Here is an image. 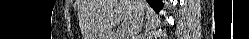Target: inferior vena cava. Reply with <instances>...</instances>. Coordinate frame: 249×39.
<instances>
[{
  "label": "inferior vena cava",
  "instance_id": "obj_1",
  "mask_svg": "<svg viewBox=\"0 0 249 39\" xmlns=\"http://www.w3.org/2000/svg\"><path fill=\"white\" fill-rule=\"evenodd\" d=\"M137 2V10L134 16V19L131 23V26L126 29L125 37L127 39H134L135 35L139 32L141 26V17H142V5L140 4V0H134Z\"/></svg>",
  "mask_w": 249,
  "mask_h": 39
}]
</instances>
